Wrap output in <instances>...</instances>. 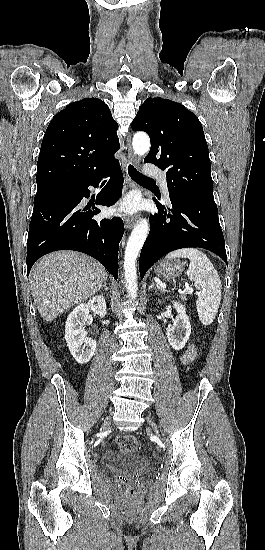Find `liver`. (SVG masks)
<instances>
[{"label":"liver","instance_id":"liver-1","mask_svg":"<svg viewBox=\"0 0 265 550\" xmlns=\"http://www.w3.org/2000/svg\"><path fill=\"white\" fill-rule=\"evenodd\" d=\"M106 279L105 268L92 257L75 251H57L34 265L30 283L41 317L51 322L97 293Z\"/></svg>","mask_w":265,"mask_h":550}]
</instances>
